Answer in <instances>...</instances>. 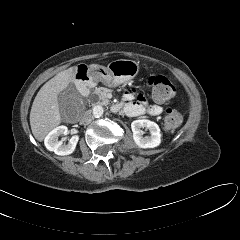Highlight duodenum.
Listing matches in <instances>:
<instances>
[{"label": "duodenum", "instance_id": "1", "mask_svg": "<svg viewBox=\"0 0 240 240\" xmlns=\"http://www.w3.org/2000/svg\"><path fill=\"white\" fill-rule=\"evenodd\" d=\"M91 84V79L89 78V76L87 74H80L78 77V87L80 92L83 95H87L89 92V86ZM113 111H118L119 107L117 105H114L112 107Z\"/></svg>", "mask_w": 240, "mask_h": 240}]
</instances>
